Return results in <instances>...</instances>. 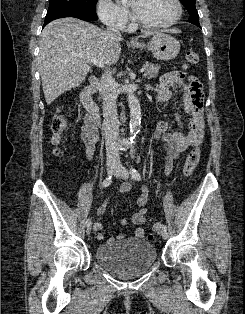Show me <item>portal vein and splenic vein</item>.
Returning a JSON list of instances; mask_svg holds the SVG:
<instances>
[{
	"label": "portal vein and splenic vein",
	"mask_w": 245,
	"mask_h": 314,
	"mask_svg": "<svg viewBox=\"0 0 245 314\" xmlns=\"http://www.w3.org/2000/svg\"><path fill=\"white\" fill-rule=\"evenodd\" d=\"M77 56L85 59L86 61H88L90 63H93L94 65H96L100 68L104 67V63L96 57L86 56V55H82V54H77ZM144 71H145L144 68L140 69V73H143Z\"/></svg>",
	"instance_id": "1"
}]
</instances>
